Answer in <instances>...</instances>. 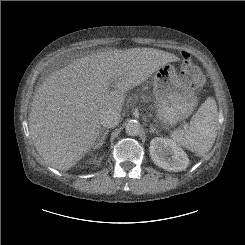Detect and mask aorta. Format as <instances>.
I'll return each mask as SVG.
<instances>
[{
  "mask_svg": "<svg viewBox=\"0 0 245 245\" xmlns=\"http://www.w3.org/2000/svg\"><path fill=\"white\" fill-rule=\"evenodd\" d=\"M125 131L130 136H137L141 131V125L136 120H130L126 124Z\"/></svg>",
  "mask_w": 245,
  "mask_h": 245,
  "instance_id": "1",
  "label": "aorta"
}]
</instances>
